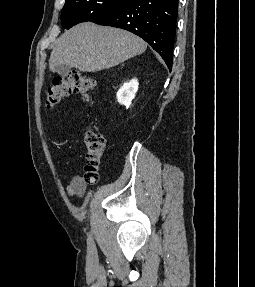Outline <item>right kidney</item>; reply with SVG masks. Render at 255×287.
Masks as SVG:
<instances>
[{"label":"right kidney","mask_w":255,"mask_h":287,"mask_svg":"<svg viewBox=\"0 0 255 287\" xmlns=\"http://www.w3.org/2000/svg\"><path fill=\"white\" fill-rule=\"evenodd\" d=\"M138 86V80H129V82H125L117 92V100L119 104L129 108L133 98H135Z\"/></svg>","instance_id":"1"}]
</instances>
